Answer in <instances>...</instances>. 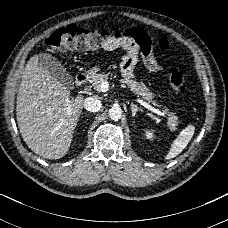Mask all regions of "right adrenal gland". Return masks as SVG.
Instances as JSON below:
<instances>
[{
    "label": "right adrenal gland",
    "mask_w": 228,
    "mask_h": 228,
    "mask_svg": "<svg viewBox=\"0 0 228 228\" xmlns=\"http://www.w3.org/2000/svg\"><path fill=\"white\" fill-rule=\"evenodd\" d=\"M84 115H86V116H90V115H89V113H87V112H85V113H84Z\"/></svg>",
    "instance_id": "1"
}]
</instances>
